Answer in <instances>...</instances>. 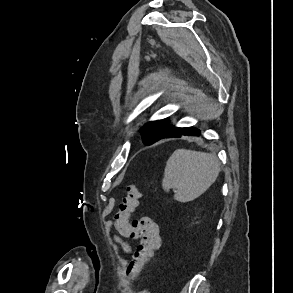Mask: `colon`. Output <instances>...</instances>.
Returning <instances> with one entry per match:
<instances>
[{
	"label": "colon",
	"instance_id": "obj_1",
	"mask_svg": "<svg viewBox=\"0 0 293 293\" xmlns=\"http://www.w3.org/2000/svg\"><path fill=\"white\" fill-rule=\"evenodd\" d=\"M140 197L139 187L129 185L115 216V226L122 236L141 240L127 268V273L132 277L142 272L146 263L161 245L159 226L153 219L145 217L130 221L131 213L137 206Z\"/></svg>",
	"mask_w": 293,
	"mask_h": 293
}]
</instances>
